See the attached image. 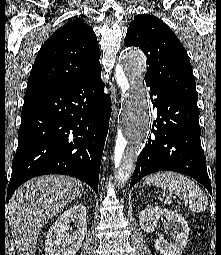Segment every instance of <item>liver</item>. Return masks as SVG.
<instances>
[{
    "label": "liver",
    "instance_id": "liver-1",
    "mask_svg": "<svg viewBox=\"0 0 221 255\" xmlns=\"http://www.w3.org/2000/svg\"><path fill=\"white\" fill-rule=\"evenodd\" d=\"M82 183L64 175L33 178L20 186L8 204L9 225L19 255H35L43 226L82 192Z\"/></svg>",
    "mask_w": 221,
    "mask_h": 255
}]
</instances>
